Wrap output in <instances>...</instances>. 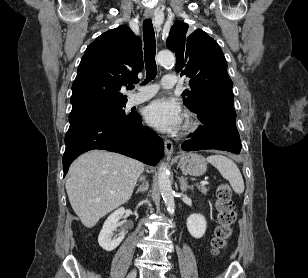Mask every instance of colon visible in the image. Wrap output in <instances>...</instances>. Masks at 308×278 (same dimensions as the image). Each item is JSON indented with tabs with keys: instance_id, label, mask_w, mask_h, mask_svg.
<instances>
[{
	"instance_id": "colon-1",
	"label": "colon",
	"mask_w": 308,
	"mask_h": 278,
	"mask_svg": "<svg viewBox=\"0 0 308 278\" xmlns=\"http://www.w3.org/2000/svg\"><path fill=\"white\" fill-rule=\"evenodd\" d=\"M216 209L218 225L211 242L212 253L218 255L228 244L232 235V226L236 219L232 191L228 184H221L216 191Z\"/></svg>"
}]
</instances>
